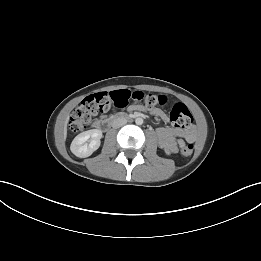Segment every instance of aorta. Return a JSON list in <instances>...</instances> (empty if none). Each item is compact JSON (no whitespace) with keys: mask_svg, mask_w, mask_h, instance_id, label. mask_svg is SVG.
Masks as SVG:
<instances>
[{"mask_svg":"<svg viewBox=\"0 0 261 261\" xmlns=\"http://www.w3.org/2000/svg\"><path fill=\"white\" fill-rule=\"evenodd\" d=\"M135 123L137 125H142L143 124V119L142 118H136Z\"/></svg>","mask_w":261,"mask_h":261,"instance_id":"762f6f07","label":"aorta"}]
</instances>
